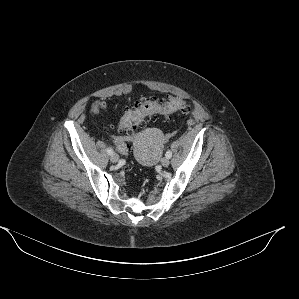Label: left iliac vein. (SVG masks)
Listing matches in <instances>:
<instances>
[{
    "mask_svg": "<svg viewBox=\"0 0 299 299\" xmlns=\"http://www.w3.org/2000/svg\"><path fill=\"white\" fill-rule=\"evenodd\" d=\"M161 164H162V166L167 167L170 164L169 158H167V157L162 158Z\"/></svg>",
    "mask_w": 299,
    "mask_h": 299,
    "instance_id": "obj_1",
    "label": "left iliac vein"
}]
</instances>
